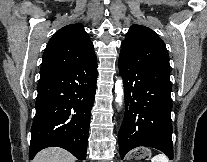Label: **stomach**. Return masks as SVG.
Wrapping results in <instances>:
<instances>
[{
    "instance_id": "1",
    "label": "stomach",
    "mask_w": 207,
    "mask_h": 162,
    "mask_svg": "<svg viewBox=\"0 0 207 162\" xmlns=\"http://www.w3.org/2000/svg\"><path fill=\"white\" fill-rule=\"evenodd\" d=\"M149 155H150V152L148 149H140L138 151H135L134 153V156L136 159H142Z\"/></svg>"
}]
</instances>
